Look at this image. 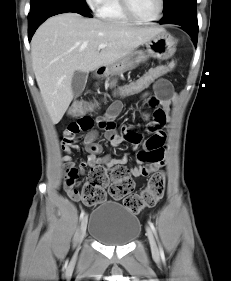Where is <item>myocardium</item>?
Returning a JSON list of instances; mask_svg holds the SVG:
<instances>
[{"mask_svg":"<svg viewBox=\"0 0 231 281\" xmlns=\"http://www.w3.org/2000/svg\"><path fill=\"white\" fill-rule=\"evenodd\" d=\"M121 8L123 12L126 14L128 18L131 20L141 23V24H152L157 22L158 20L161 19L163 16L164 8H165V1L164 0H159V10L157 15L154 18L151 19H143L139 17L134 10L132 9V6L130 4V0H119Z\"/></svg>","mask_w":231,"mask_h":281,"instance_id":"f54148a6","label":"myocardium"}]
</instances>
